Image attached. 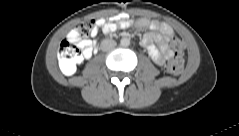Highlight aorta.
<instances>
[{
	"label": "aorta",
	"mask_w": 239,
	"mask_h": 136,
	"mask_svg": "<svg viewBox=\"0 0 239 136\" xmlns=\"http://www.w3.org/2000/svg\"><path fill=\"white\" fill-rule=\"evenodd\" d=\"M120 44L122 46H129L130 45V40L128 38H122L120 41Z\"/></svg>",
	"instance_id": "1"
}]
</instances>
